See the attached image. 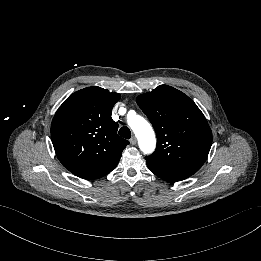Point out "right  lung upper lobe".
I'll use <instances>...</instances> for the list:
<instances>
[{"mask_svg": "<svg viewBox=\"0 0 261 261\" xmlns=\"http://www.w3.org/2000/svg\"><path fill=\"white\" fill-rule=\"evenodd\" d=\"M120 94L97 86L81 89L57 110L51 125L56 155L74 175L97 179L118 164L129 142L117 135L118 123L111 118Z\"/></svg>", "mask_w": 261, "mask_h": 261, "instance_id": "right-lung-upper-lobe-1", "label": "right lung upper lobe"}]
</instances>
